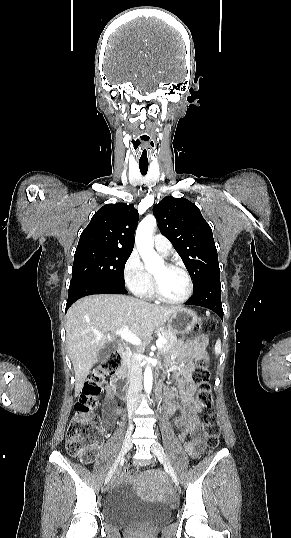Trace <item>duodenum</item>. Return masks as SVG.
<instances>
[{"mask_svg": "<svg viewBox=\"0 0 291 538\" xmlns=\"http://www.w3.org/2000/svg\"><path fill=\"white\" fill-rule=\"evenodd\" d=\"M119 353L121 354L123 360H126L129 354V350L123 347L119 349ZM127 372H128V369L123 364L121 367V371L116 372L114 374V377L112 378V381L114 382L113 391L116 394V396L119 398L125 397L129 391V388H128L129 383L125 380H122L123 374H126ZM166 381H167L166 374L164 372H157L154 377L153 386L155 388H161L163 386V383H165Z\"/></svg>", "mask_w": 291, "mask_h": 538, "instance_id": "duodenum-1", "label": "duodenum"}]
</instances>
